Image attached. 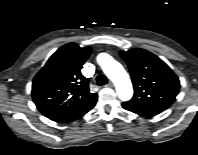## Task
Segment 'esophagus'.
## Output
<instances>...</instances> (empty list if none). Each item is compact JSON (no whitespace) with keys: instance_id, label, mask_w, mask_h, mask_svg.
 Masks as SVG:
<instances>
[{"instance_id":"1","label":"esophagus","mask_w":198,"mask_h":155,"mask_svg":"<svg viewBox=\"0 0 198 155\" xmlns=\"http://www.w3.org/2000/svg\"><path fill=\"white\" fill-rule=\"evenodd\" d=\"M108 86H109V87H113V86H114L113 82H112V81H109V82H108Z\"/></svg>"}]
</instances>
